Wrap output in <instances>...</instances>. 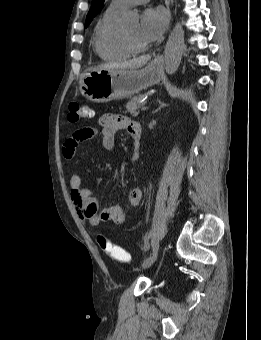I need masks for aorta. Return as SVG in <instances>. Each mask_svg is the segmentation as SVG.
<instances>
[{"label": "aorta", "instance_id": "762f6f07", "mask_svg": "<svg viewBox=\"0 0 261 340\" xmlns=\"http://www.w3.org/2000/svg\"><path fill=\"white\" fill-rule=\"evenodd\" d=\"M137 15L134 13H128L124 16V22L130 23L137 20ZM184 51V30L182 23H176L175 27L171 31L168 41L165 47V71L172 75L174 74L181 62Z\"/></svg>", "mask_w": 261, "mask_h": 340}]
</instances>
